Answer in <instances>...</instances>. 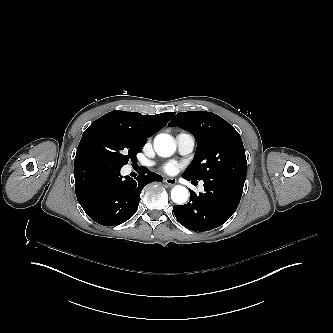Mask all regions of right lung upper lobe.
<instances>
[{"mask_svg": "<svg viewBox=\"0 0 333 333\" xmlns=\"http://www.w3.org/2000/svg\"><path fill=\"white\" fill-rule=\"evenodd\" d=\"M174 112L157 115H142L140 113L126 111H111L95 120L87 130L96 125L113 126L136 141L146 143L147 138L158 132L174 116Z\"/></svg>", "mask_w": 333, "mask_h": 333, "instance_id": "right-lung-upper-lobe-1", "label": "right lung upper lobe"}]
</instances>
